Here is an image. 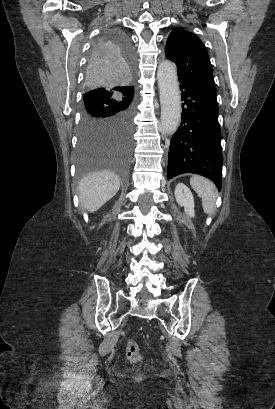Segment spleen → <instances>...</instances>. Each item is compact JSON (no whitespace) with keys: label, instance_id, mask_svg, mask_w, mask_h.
<instances>
[{"label":"spleen","instance_id":"spleen-1","mask_svg":"<svg viewBox=\"0 0 275 409\" xmlns=\"http://www.w3.org/2000/svg\"><path fill=\"white\" fill-rule=\"evenodd\" d=\"M190 184L196 190L198 196L202 198L204 213L213 215L217 196V188L214 182H211L208 178H203V176H198V174H193L190 178Z\"/></svg>","mask_w":275,"mask_h":409}]
</instances>
